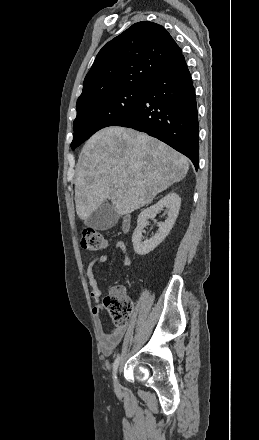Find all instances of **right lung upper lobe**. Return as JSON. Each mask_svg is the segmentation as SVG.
<instances>
[{
	"instance_id": "right-lung-upper-lobe-1",
	"label": "right lung upper lobe",
	"mask_w": 259,
	"mask_h": 440,
	"mask_svg": "<svg viewBox=\"0 0 259 440\" xmlns=\"http://www.w3.org/2000/svg\"><path fill=\"white\" fill-rule=\"evenodd\" d=\"M182 57L181 48L161 25L135 23L99 51L77 108L118 90L148 88Z\"/></svg>"
}]
</instances>
